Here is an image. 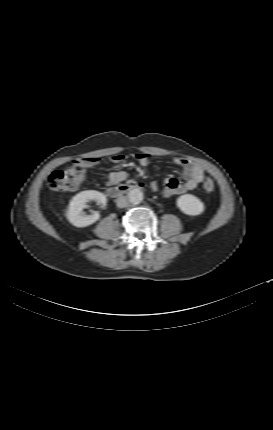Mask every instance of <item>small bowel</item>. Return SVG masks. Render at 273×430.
Here are the masks:
<instances>
[{"mask_svg":"<svg viewBox=\"0 0 273 430\" xmlns=\"http://www.w3.org/2000/svg\"><path fill=\"white\" fill-rule=\"evenodd\" d=\"M136 158L138 163L143 167L148 166L150 163V155L147 153L137 154ZM124 160L125 156L123 155H115L111 158L112 163L115 165L121 164ZM173 162L181 168L184 181L181 182L175 178H167L163 182V189L161 191L162 195L166 198L193 190L205 177V172L200 165L191 163L181 157H174ZM96 163L97 159L95 158L82 157L79 159V164L83 168H88ZM126 178L127 173L125 171H113L108 174L107 181L110 185H113L126 180ZM151 187L154 191H159L160 189V185L157 182H153Z\"/></svg>","mask_w":273,"mask_h":430,"instance_id":"small-bowel-1","label":"small bowel"}]
</instances>
